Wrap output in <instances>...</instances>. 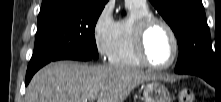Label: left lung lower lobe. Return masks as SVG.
Here are the masks:
<instances>
[{"instance_id": "obj_1", "label": "left lung lower lobe", "mask_w": 221, "mask_h": 102, "mask_svg": "<svg viewBox=\"0 0 221 102\" xmlns=\"http://www.w3.org/2000/svg\"><path fill=\"white\" fill-rule=\"evenodd\" d=\"M177 74H191V75H197L201 78H203L205 81H207L211 85H215L217 82V78L212 76L209 73H206L202 70L198 69H192V70H183V71H175Z\"/></svg>"}]
</instances>
